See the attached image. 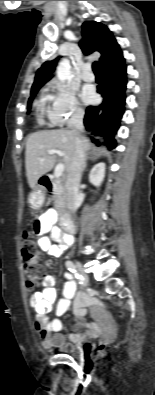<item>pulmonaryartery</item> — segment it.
I'll use <instances>...</instances> for the list:
<instances>
[{
  "label": "pulmonary artery",
  "mask_w": 155,
  "mask_h": 395,
  "mask_svg": "<svg viewBox=\"0 0 155 395\" xmlns=\"http://www.w3.org/2000/svg\"><path fill=\"white\" fill-rule=\"evenodd\" d=\"M82 78L84 81H87V82L94 81V79H95V76L91 72L90 67L88 65H86L82 71Z\"/></svg>",
  "instance_id": "obj_1"
}]
</instances>
